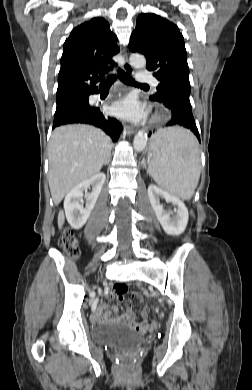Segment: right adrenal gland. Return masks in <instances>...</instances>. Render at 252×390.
Wrapping results in <instances>:
<instances>
[{
	"mask_svg": "<svg viewBox=\"0 0 252 390\" xmlns=\"http://www.w3.org/2000/svg\"><path fill=\"white\" fill-rule=\"evenodd\" d=\"M109 161H110V158L107 160V162H105V165H108V164H109Z\"/></svg>",
	"mask_w": 252,
	"mask_h": 390,
	"instance_id": "right-adrenal-gland-1",
	"label": "right adrenal gland"
}]
</instances>
